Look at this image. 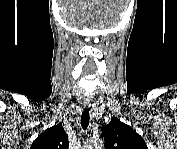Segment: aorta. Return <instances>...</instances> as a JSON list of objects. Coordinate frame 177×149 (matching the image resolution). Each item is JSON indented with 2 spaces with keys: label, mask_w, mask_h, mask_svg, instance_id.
Listing matches in <instances>:
<instances>
[{
  "label": "aorta",
  "mask_w": 177,
  "mask_h": 149,
  "mask_svg": "<svg viewBox=\"0 0 177 149\" xmlns=\"http://www.w3.org/2000/svg\"><path fill=\"white\" fill-rule=\"evenodd\" d=\"M86 149H102V142L100 140H95L87 145Z\"/></svg>",
  "instance_id": "1"
}]
</instances>
